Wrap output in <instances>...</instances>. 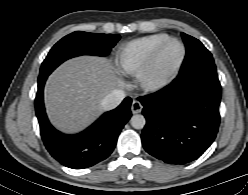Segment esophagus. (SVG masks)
Here are the masks:
<instances>
[{
    "label": "esophagus",
    "instance_id": "obj_1",
    "mask_svg": "<svg viewBox=\"0 0 248 195\" xmlns=\"http://www.w3.org/2000/svg\"><path fill=\"white\" fill-rule=\"evenodd\" d=\"M142 104L138 100H133L131 105V111L133 114H138L142 111Z\"/></svg>",
    "mask_w": 248,
    "mask_h": 195
}]
</instances>
